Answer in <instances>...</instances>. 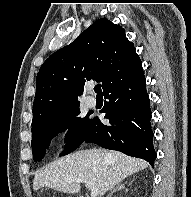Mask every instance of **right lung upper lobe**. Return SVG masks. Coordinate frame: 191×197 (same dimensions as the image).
<instances>
[{"instance_id":"right-lung-upper-lobe-1","label":"right lung upper lobe","mask_w":191,"mask_h":197,"mask_svg":"<svg viewBox=\"0 0 191 197\" xmlns=\"http://www.w3.org/2000/svg\"><path fill=\"white\" fill-rule=\"evenodd\" d=\"M141 65L125 30L106 18L97 20L41 66L37 75L32 127L78 106V97L90 79L102 82L104 90Z\"/></svg>"}]
</instances>
